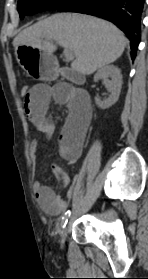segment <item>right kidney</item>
I'll return each instance as SVG.
<instances>
[{
  "label": "right kidney",
  "mask_w": 148,
  "mask_h": 279,
  "mask_svg": "<svg viewBox=\"0 0 148 279\" xmlns=\"http://www.w3.org/2000/svg\"><path fill=\"white\" fill-rule=\"evenodd\" d=\"M109 77L111 80L108 79ZM100 79L105 81V86L110 92V96L108 99L103 101L96 97L95 102L99 108L108 109L117 102L120 95L122 86V75L120 73V69L114 65L104 66L94 75V82H97Z\"/></svg>",
  "instance_id": "1"
}]
</instances>
